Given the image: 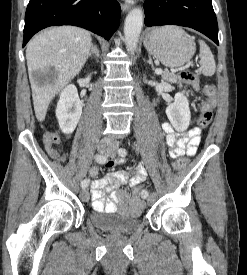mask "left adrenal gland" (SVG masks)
<instances>
[{
    "instance_id": "left-adrenal-gland-1",
    "label": "left adrenal gland",
    "mask_w": 247,
    "mask_h": 275,
    "mask_svg": "<svg viewBox=\"0 0 247 275\" xmlns=\"http://www.w3.org/2000/svg\"><path fill=\"white\" fill-rule=\"evenodd\" d=\"M147 63L151 65V67H152L153 70H155V67H154V64L152 62L151 56H149V60L147 61Z\"/></svg>"
}]
</instances>
